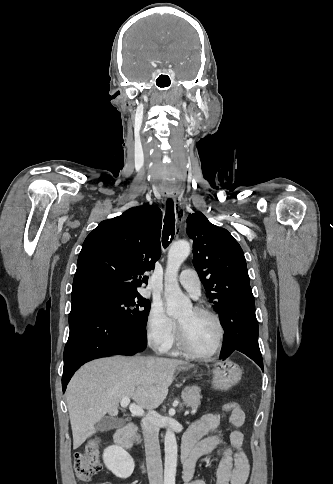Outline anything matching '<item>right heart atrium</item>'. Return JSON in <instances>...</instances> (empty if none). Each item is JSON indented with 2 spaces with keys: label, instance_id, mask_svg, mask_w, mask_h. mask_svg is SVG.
<instances>
[{
  "label": "right heart atrium",
  "instance_id": "right-heart-atrium-1",
  "mask_svg": "<svg viewBox=\"0 0 333 484\" xmlns=\"http://www.w3.org/2000/svg\"><path fill=\"white\" fill-rule=\"evenodd\" d=\"M145 329L149 343L155 348L161 351H167L173 345L176 324L166 314L164 307L160 303H154L150 307Z\"/></svg>",
  "mask_w": 333,
  "mask_h": 484
}]
</instances>
